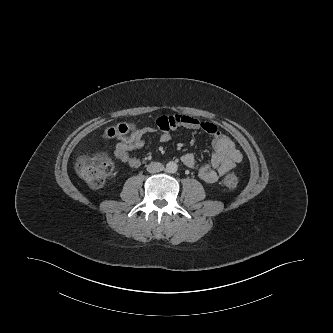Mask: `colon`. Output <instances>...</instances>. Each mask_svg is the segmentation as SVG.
Instances as JSON below:
<instances>
[{"label": "colon", "instance_id": "1", "mask_svg": "<svg viewBox=\"0 0 333 333\" xmlns=\"http://www.w3.org/2000/svg\"><path fill=\"white\" fill-rule=\"evenodd\" d=\"M134 126L128 123H121L112 126L106 130V136L109 138L124 137L133 131ZM76 171L78 175L93 187H101L113 171V163L105 153H99L91 156H81L76 162ZM239 179L235 174H227L223 184L228 189L235 188Z\"/></svg>", "mask_w": 333, "mask_h": 333}]
</instances>
